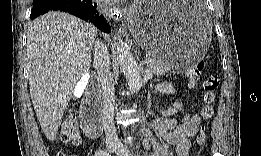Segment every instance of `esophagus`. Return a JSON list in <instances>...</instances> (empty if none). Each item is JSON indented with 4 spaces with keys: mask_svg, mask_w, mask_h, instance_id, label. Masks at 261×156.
<instances>
[{
    "mask_svg": "<svg viewBox=\"0 0 261 156\" xmlns=\"http://www.w3.org/2000/svg\"><path fill=\"white\" fill-rule=\"evenodd\" d=\"M106 14L112 18V19H118L119 17H122V10L119 7L113 6L109 9L106 8Z\"/></svg>",
    "mask_w": 261,
    "mask_h": 156,
    "instance_id": "1",
    "label": "esophagus"
}]
</instances>
